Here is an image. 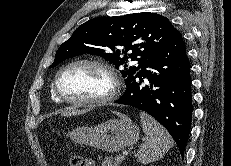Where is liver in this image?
Listing matches in <instances>:
<instances>
[{"label":"liver","instance_id":"6515ba94","mask_svg":"<svg viewBox=\"0 0 231 166\" xmlns=\"http://www.w3.org/2000/svg\"><path fill=\"white\" fill-rule=\"evenodd\" d=\"M88 111H90V109L78 110L75 107H67V108L61 110L60 113L62 116H72V115H79L82 113H86ZM113 113L120 115L117 112H113Z\"/></svg>","mask_w":231,"mask_h":166}]
</instances>
